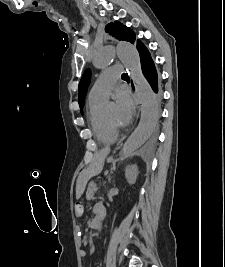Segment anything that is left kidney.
Returning a JSON list of instances; mask_svg holds the SVG:
<instances>
[{
    "label": "left kidney",
    "instance_id": "left-kidney-1",
    "mask_svg": "<svg viewBox=\"0 0 225 267\" xmlns=\"http://www.w3.org/2000/svg\"><path fill=\"white\" fill-rule=\"evenodd\" d=\"M138 174L139 171L136 165L128 166L125 170V178L129 184H135Z\"/></svg>",
    "mask_w": 225,
    "mask_h": 267
}]
</instances>
